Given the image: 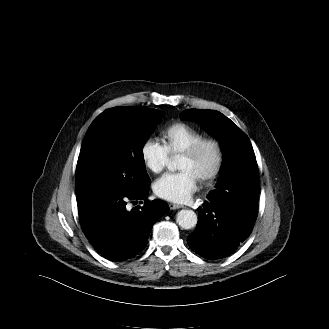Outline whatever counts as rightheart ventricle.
<instances>
[{"mask_svg":"<svg viewBox=\"0 0 329 329\" xmlns=\"http://www.w3.org/2000/svg\"><path fill=\"white\" fill-rule=\"evenodd\" d=\"M163 137L169 153L175 156L204 138V134L189 124L177 122L164 130Z\"/></svg>","mask_w":329,"mask_h":329,"instance_id":"right-heart-ventricle-1","label":"right heart ventricle"}]
</instances>
